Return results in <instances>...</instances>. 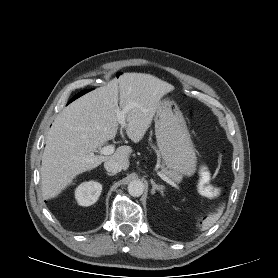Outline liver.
I'll list each match as a JSON object with an SVG mask.
<instances>
[{
	"label": "liver",
	"mask_w": 278,
	"mask_h": 278,
	"mask_svg": "<svg viewBox=\"0 0 278 278\" xmlns=\"http://www.w3.org/2000/svg\"><path fill=\"white\" fill-rule=\"evenodd\" d=\"M173 90L171 84L152 75L124 73L65 107L46 137L41 167L44 198H55L77 175L107 160H115L127 170L133 151L130 146H120L109 156L95 154L116 137L117 112L131 107L125 114V130L138 143L150 127L161 98Z\"/></svg>",
	"instance_id": "obj_1"
}]
</instances>
